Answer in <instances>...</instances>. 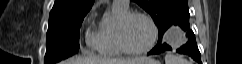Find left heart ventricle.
Returning a JSON list of instances; mask_svg holds the SVG:
<instances>
[{"mask_svg": "<svg viewBox=\"0 0 242 64\" xmlns=\"http://www.w3.org/2000/svg\"><path fill=\"white\" fill-rule=\"evenodd\" d=\"M152 30L147 20L134 17L129 20L125 28V39L129 47L142 49L151 40Z\"/></svg>", "mask_w": 242, "mask_h": 64, "instance_id": "b2bd125f", "label": "left heart ventricle"}]
</instances>
